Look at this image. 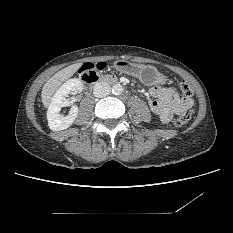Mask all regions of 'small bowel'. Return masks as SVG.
Masks as SVG:
<instances>
[{
	"label": "small bowel",
	"mask_w": 233,
	"mask_h": 233,
	"mask_svg": "<svg viewBox=\"0 0 233 233\" xmlns=\"http://www.w3.org/2000/svg\"><path fill=\"white\" fill-rule=\"evenodd\" d=\"M146 95L151 110L164 122L171 121L174 114L189 111L192 106L191 102L181 98L171 87L153 86Z\"/></svg>",
	"instance_id": "1"
}]
</instances>
